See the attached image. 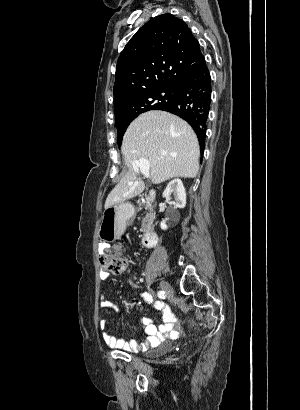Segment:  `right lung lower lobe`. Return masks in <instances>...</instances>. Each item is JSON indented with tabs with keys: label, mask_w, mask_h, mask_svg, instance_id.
<instances>
[{
	"label": "right lung lower lobe",
	"mask_w": 300,
	"mask_h": 410,
	"mask_svg": "<svg viewBox=\"0 0 300 410\" xmlns=\"http://www.w3.org/2000/svg\"><path fill=\"white\" fill-rule=\"evenodd\" d=\"M210 102L211 79L203 59L180 81L173 100L158 109L176 114L191 125L198 137L201 155L205 147Z\"/></svg>",
	"instance_id": "right-lung-lower-lobe-1"
}]
</instances>
